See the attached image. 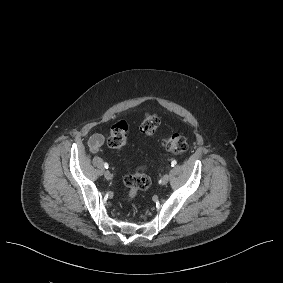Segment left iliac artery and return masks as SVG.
<instances>
[{
    "mask_svg": "<svg viewBox=\"0 0 283 283\" xmlns=\"http://www.w3.org/2000/svg\"><path fill=\"white\" fill-rule=\"evenodd\" d=\"M176 163H177L176 160H173V161L171 162V166L174 167V166L176 165Z\"/></svg>",
    "mask_w": 283,
    "mask_h": 283,
    "instance_id": "1",
    "label": "left iliac artery"
}]
</instances>
